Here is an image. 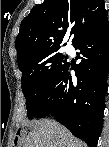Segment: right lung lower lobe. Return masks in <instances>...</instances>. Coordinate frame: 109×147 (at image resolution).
I'll list each match as a JSON object with an SVG mask.
<instances>
[{"label":"right lung lower lobe","mask_w":109,"mask_h":147,"mask_svg":"<svg viewBox=\"0 0 109 147\" xmlns=\"http://www.w3.org/2000/svg\"><path fill=\"white\" fill-rule=\"evenodd\" d=\"M74 47L81 62L73 67L72 80L67 63L47 94L36 118L52 115L71 133L96 147L102 130L104 98L109 72V22L103 18L84 34Z\"/></svg>","instance_id":"right-lung-lower-lobe-1"}]
</instances>
